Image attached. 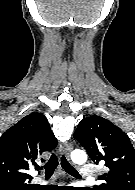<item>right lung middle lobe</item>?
<instances>
[{
	"instance_id": "obj_1",
	"label": "right lung middle lobe",
	"mask_w": 135,
	"mask_h": 190,
	"mask_svg": "<svg viewBox=\"0 0 135 190\" xmlns=\"http://www.w3.org/2000/svg\"><path fill=\"white\" fill-rule=\"evenodd\" d=\"M0 190H33V187L28 184H22L18 182H13V183L1 182Z\"/></svg>"
}]
</instances>
